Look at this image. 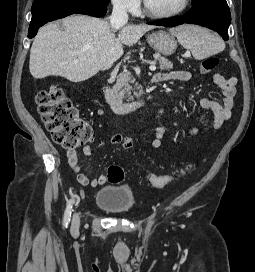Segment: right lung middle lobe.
<instances>
[{
    "mask_svg": "<svg viewBox=\"0 0 255 272\" xmlns=\"http://www.w3.org/2000/svg\"><path fill=\"white\" fill-rule=\"evenodd\" d=\"M87 1L98 2V3L105 5V6H107L108 3L110 2V0H87Z\"/></svg>",
    "mask_w": 255,
    "mask_h": 272,
    "instance_id": "right-lung-middle-lobe-1",
    "label": "right lung middle lobe"
}]
</instances>
